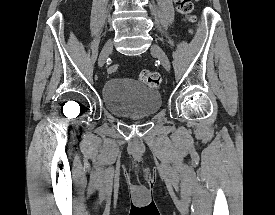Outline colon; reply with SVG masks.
I'll use <instances>...</instances> for the list:
<instances>
[{"mask_svg": "<svg viewBox=\"0 0 275 215\" xmlns=\"http://www.w3.org/2000/svg\"><path fill=\"white\" fill-rule=\"evenodd\" d=\"M179 12L184 14L188 20H193L192 11L194 9V4L192 0H176ZM118 65L111 64L108 68V73L113 74L117 72ZM139 80L151 88H159L162 84V77L158 72L151 70H142L139 73Z\"/></svg>", "mask_w": 275, "mask_h": 215, "instance_id": "5ec220e1", "label": "colon"}]
</instances>
